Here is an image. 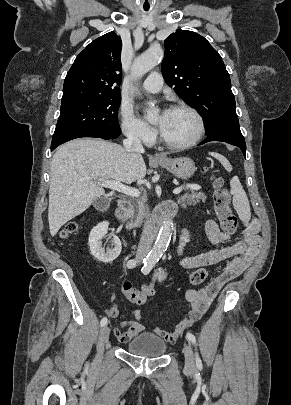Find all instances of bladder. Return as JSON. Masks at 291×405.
<instances>
[{
    "mask_svg": "<svg viewBox=\"0 0 291 405\" xmlns=\"http://www.w3.org/2000/svg\"><path fill=\"white\" fill-rule=\"evenodd\" d=\"M166 348L167 345L162 338L155 334L144 332L127 344L126 351L141 357L155 358L162 356Z\"/></svg>",
    "mask_w": 291,
    "mask_h": 405,
    "instance_id": "31cf9c89",
    "label": "bladder"
}]
</instances>
